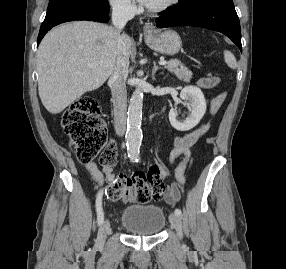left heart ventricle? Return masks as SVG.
Masks as SVG:
<instances>
[{
    "mask_svg": "<svg viewBox=\"0 0 286 269\" xmlns=\"http://www.w3.org/2000/svg\"><path fill=\"white\" fill-rule=\"evenodd\" d=\"M166 0H150L149 4L147 6H157L163 3Z\"/></svg>",
    "mask_w": 286,
    "mask_h": 269,
    "instance_id": "obj_1",
    "label": "left heart ventricle"
}]
</instances>
